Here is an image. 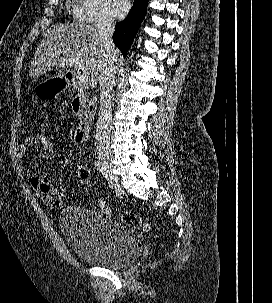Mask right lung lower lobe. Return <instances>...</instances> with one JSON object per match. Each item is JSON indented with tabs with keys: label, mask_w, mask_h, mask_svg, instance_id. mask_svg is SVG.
Returning a JSON list of instances; mask_svg holds the SVG:
<instances>
[{
	"label": "right lung lower lobe",
	"mask_w": 272,
	"mask_h": 303,
	"mask_svg": "<svg viewBox=\"0 0 272 303\" xmlns=\"http://www.w3.org/2000/svg\"><path fill=\"white\" fill-rule=\"evenodd\" d=\"M148 2L149 0H134L133 7L127 17L123 21L116 23L113 41L124 57H126L127 51L145 18Z\"/></svg>",
	"instance_id": "98d812e1"
}]
</instances>
